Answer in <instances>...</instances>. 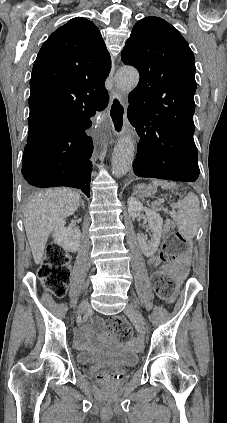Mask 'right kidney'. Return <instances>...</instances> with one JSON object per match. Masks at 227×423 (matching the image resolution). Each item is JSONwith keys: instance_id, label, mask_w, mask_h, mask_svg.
<instances>
[{"instance_id": "ca27d5eb", "label": "right kidney", "mask_w": 227, "mask_h": 423, "mask_svg": "<svg viewBox=\"0 0 227 423\" xmlns=\"http://www.w3.org/2000/svg\"><path fill=\"white\" fill-rule=\"evenodd\" d=\"M66 221L61 219L53 229L55 243L61 245L66 251H78L80 247L81 231L79 227H64Z\"/></svg>"}]
</instances>
